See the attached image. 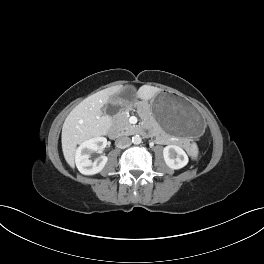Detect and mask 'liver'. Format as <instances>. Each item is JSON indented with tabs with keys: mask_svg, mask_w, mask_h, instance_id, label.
<instances>
[{
	"mask_svg": "<svg viewBox=\"0 0 264 264\" xmlns=\"http://www.w3.org/2000/svg\"><path fill=\"white\" fill-rule=\"evenodd\" d=\"M123 88L119 86L101 90L79 103L67 116L62 128V150L66 162L74 168V158L78 144L92 138L106 135L112 126V119L103 115L102 107L109 98L119 93ZM161 90L153 86H142L137 97L142 100L153 98Z\"/></svg>",
	"mask_w": 264,
	"mask_h": 264,
	"instance_id": "1",
	"label": "liver"
}]
</instances>
